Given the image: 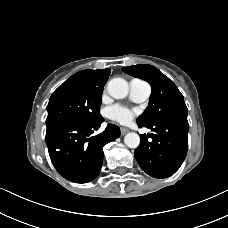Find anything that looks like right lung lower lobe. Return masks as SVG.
Here are the masks:
<instances>
[{"instance_id": "obj_1", "label": "right lung lower lobe", "mask_w": 228, "mask_h": 228, "mask_svg": "<svg viewBox=\"0 0 228 228\" xmlns=\"http://www.w3.org/2000/svg\"><path fill=\"white\" fill-rule=\"evenodd\" d=\"M104 121L64 122L46 131V144L56 170L67 180L86 183L95 179L103 161V146L120 136V128L108 124L105 131L92 136Z\"/></svg>"}]
</instances>
